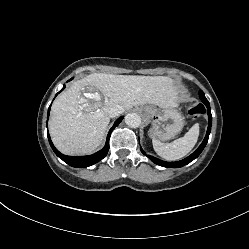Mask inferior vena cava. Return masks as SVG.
<instances>
[{"mask_svg": "<svg viewBox=\"0 0 249 249\" xmlns=\"http://www.w3.org/2000/svg\"><path fill=\"white\" fill-rule=\"evenodd\" d=\"M124 112V108L120 105H115L113 107H111L108 111V114L111 118L119 116L120 114H122Z\"/></svg>", "mask_w": 249, "mask_h": 249, "instance_id": "1", "label": "inferior vena cava"}]
</instances>
